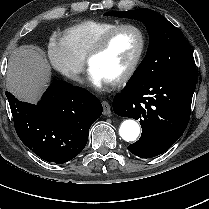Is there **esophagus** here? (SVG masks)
I'll use <instances>...</instances> for the list:
<instances>
[{
  "mask_svg": "<svg viewBox=\"0 0 209 209\" xmlns=\"http://www.w3.org/2000/svg\"><path fill=\"white\" fill-rule=\"evenodd\" d=\"M103 114L108 116L111 114V107L107 101H102Z\"/></svg>",
  "mask_w": 209,
  "mask_h": 209,
  "instance_id": "esophagus-1",
  "label": "esophagus"
}]
</instances>
